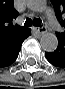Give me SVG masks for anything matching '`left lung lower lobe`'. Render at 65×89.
Here are the masks:
<instances>
[{
	"instance_id": "0a47b994",
	"label": "left lung lower lobe",
	"mask_w": 65,
	"mask_h": 89,
	"mask_svg": "<svg viewBox=\"0 0 65 89\" xmlns=\"http://www.w3.org/2000/svg\"><path fill=\"white\" fill-rule=\"evenodd\" d=\"M57 38V49L54 52L45 53V57L51 64L65 68V34H57Z\"/></svg>"
}]
</instances>
